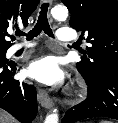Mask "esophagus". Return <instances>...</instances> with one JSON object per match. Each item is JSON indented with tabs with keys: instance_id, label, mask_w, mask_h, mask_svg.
Segmentation results:
<instances>
[{
	"instance_id": "34e87169",
	"label": "esophagus",
	"mask_w": 118,
	"mask_h": 123,
	"mask_svg": "<svg viewBox=\"0 0 118 123\" xmlns=\"http://www.w3.org/2000/svg\"><path fill=\"white\" fill-rule=\"evenodd\" d=\"M46 1L49 2V3L52 2L51 0H46ZM37 98H38L39 103L43 107H45L47 109H50L53 106V100H52V98L48 95V93L45 90L38 89Z\"/></svg>"
}]
</instances>
